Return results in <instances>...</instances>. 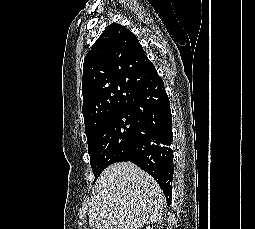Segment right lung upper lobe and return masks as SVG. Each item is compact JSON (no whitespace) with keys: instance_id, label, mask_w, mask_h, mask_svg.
Returning <instances> with one entry per match:
<instances>
[{"instance_id":"obj_1","label":"right lung upper lobe","mask_w":255,"mask_h":229,"mask_svg":"<svg viewBox=\"0 0 255 229\" xmlns=\"http://www.w3.org/2000/svg\"><path fill=\"white\" fill-rule=\"evenodd\" d=\"M155 71L130 30L116 23L108 25L83 64L82 112L87 138L121 112L141 82Z\"/></svg>"}]
</instances>
